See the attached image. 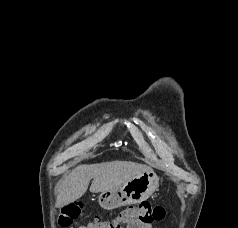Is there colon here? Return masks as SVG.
Returning <instances> with one entry per match:
<instances>
[{
    "mask_svg": "<svg viewBox=\"0 0 238 228\" xmlns=\"http://www.w3.org/2000/svg\"><path fill=\"white\" fill-rule=\"evenodd\" d=\"M82 204L72 203L61 207L57 213L58 223L61 227H70L73 221L79 217ZM165 210L159 205H153L147 201L137 206H128L120 213L108 220H93L78 228H122L124 225L131 226L137 223L151 225L163 220Z\"/></svg>",
    "mask_w": 238,
    "mask_h": 228,
    "instance_id": "obj_1",
    "label": "colon"
}]
</instances>
